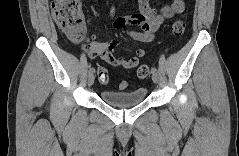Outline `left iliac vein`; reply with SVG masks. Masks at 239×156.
I'll return each instance as SVG.
<instances>
[{
    "instance_id": "1",
    "label": "left iliac vein",
    "mask_w": 239,
    "mask_h": 156,
    "mask_svg": "<svg viewBox=\"0 0 239 156\" xmlns=\"http://www.w3.org/2000/svg\"><path fill=\"white\" fill-rule=\"evenodd\" d=\"M152 80L154 83H158L159 77L157 73H152Z\"/></svg>"
}]
</instances>
